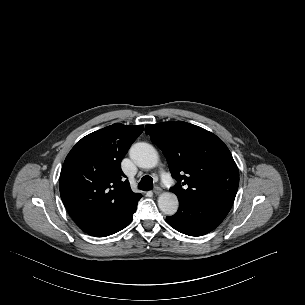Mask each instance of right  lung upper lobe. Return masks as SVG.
<instances>
[{
	"instance_id": "obj_1",
	"label": "right lung upper lobe",
	"mask_w": 305,
	"mask_h": 305,
	"mask_svg": "<svg viewBox=\"0 0 305 305\" xmlns=\"http://www.w3.org/2000/svg\"><path fill=\"white\" fill-rule=\"evenodd\" d=\"M144 126L113 124L83 137L69 152L60 174V195L85 232L105 229L137 206L120 162Z\"/></svg>"
}]
</instances>
